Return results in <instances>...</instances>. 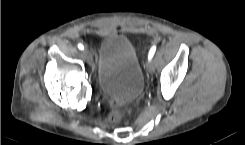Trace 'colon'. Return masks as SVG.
<instances>
[{
	"label": "colon",
	"instance_id": "colon-1",
	"mask_svg": "<svg viewBox=\"0 0 245 145\" xmlns=\"http://www.w3.org/2000/svg\"><path fill=\"white\" fill-rule=\"evenodd\" d=\"M126 112L124 110H113L109 116V121L112 123H119L125 117Z\"/></svg>",
	"mask_w": 245,
	"mask_h": 145
}]
</instances>
